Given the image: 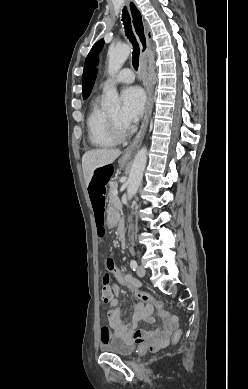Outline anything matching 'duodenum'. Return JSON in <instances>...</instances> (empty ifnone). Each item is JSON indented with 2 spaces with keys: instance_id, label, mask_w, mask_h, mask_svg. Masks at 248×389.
<instances>
[{
  "instance_id": "1",
  "label": "duodenum",
  "mask_w": 248,
  "mask_h": 389,
  "mask_svg": "<svg viewBox=\"0 0 248 389\" xmlns=\"http://www.w3.org/2000/svg\"><path fill=\"white\" fill-rule=\"evenodd\" d=\"M118 235H119L120 245H121V247H124L126 239H125V232H124V228H123L122 224H120L118 227Z\"/></svg>"
}]
</instances>
